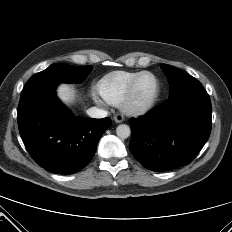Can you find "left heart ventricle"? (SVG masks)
<instances>
[{"instance_id": "left-heart-ventricle-1", "label": "left heart ventricle", "mask_w": 232, "mask_h": 232, "mask_svg": "<svg viewBox=\"0 0 232 232\" xmlns=\"http://www.w3.org/2000/svg\"><path fill=\"white\" fill-rule=\"evenodd\" d=\"M155 90V83L151 76H143L135 89L133 100L137 104H141L150 99Z\"/></svg>"}]
</instances>
